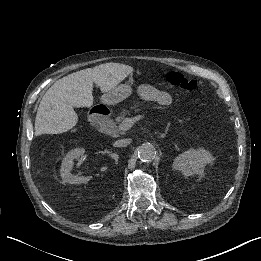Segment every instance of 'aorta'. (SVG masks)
<instances>
[{
	"label": "aorta",
	"mask_w": 261,
	"mask_h": 261,
	"mask_svg": "<svg viewBox=\"0 0 261 261\" xmlns=\"http://www.w3.org/2000/svg\"><path fill=\"white\" fill-rule=\"evenodd\" d=\"M138 157L143 162H151L156 155L155 147L150 143H144L137 148Z\"/></svg>",
	"instance_id": "obj_1"
}]
</instances>
